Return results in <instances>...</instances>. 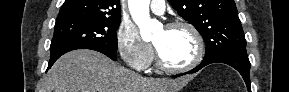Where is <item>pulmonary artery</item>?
I'll list each match as a JSON object with an SVG mask.
<instances>
[{
  "label": "pulmonary artery",
  "instance_id": "e3ab8cb5",
  "mask_svg": "<svg viewBox=\"0 0 289 92\" xmlns=\"http://www.w3.org/2000/svg\"><path fill=\"white\" fill-rule=\"evenodd\" d=\"M151 11L155 14H163L165 12V1L164 0H152L150 3Z\"/></svg>",
  "mask_w": 289,
  "mask_h": 92
}]
</instances>
